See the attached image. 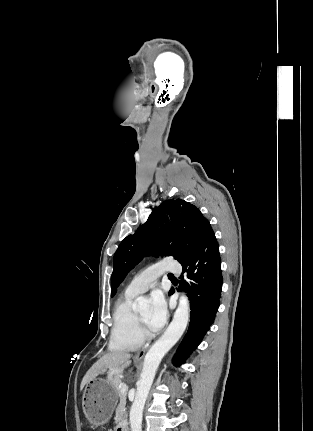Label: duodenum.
I'll return each instance as SVG.
<instances>
[{
  "mask_svg": "<svg viewBox=\"0 0 313 431\" xmlns=\"http://www.w3.org/2000/svg\"><path fill=\"white\" fill-rule=\"evenodd\" d=\"M117 431H129L128 424L126 422H121L118 425Z\"/></svg>",
  "mask_w": 313,
  "mask_h": 431,
  "instance_id": "duodenum-1",
  "label": "duodenum"
}]
</instances>
